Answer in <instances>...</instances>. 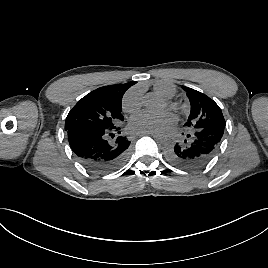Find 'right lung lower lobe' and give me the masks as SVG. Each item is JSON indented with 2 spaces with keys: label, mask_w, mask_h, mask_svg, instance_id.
<instances>
[{
  "label": "right lung lower lobe",
  "mask_w": 268,
  "mask_h": 268,
  "mask_svg": "<svg viewBox=\"0 0 268 268\" xmlns=\"http://www.w3.org/2000/svg\"><path fill=\"white\" fill-rule=\"evenodd\" d=\"M120 129L72 127L67 130L69 145L87 169L96 173L112 172L123 165L130 145L125 136H114Z\"/></svg>",
  "instance_id": "98d812e1"
}]
</instances>
